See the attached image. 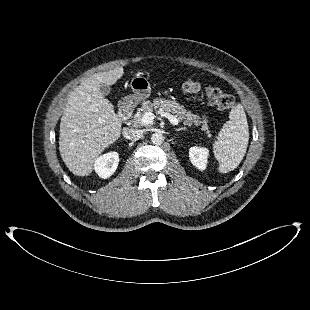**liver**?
Returning a JSON list of instances; mask_svg holds the SVG:
<instances>
[{
  "label": "liver",
  "mask_w": 310,
  "mask_h": 310,
  "mask_svg": "<svg viewBox=\"0 0 310 310\" xmlns=\"http://www.w3.org/2000/svg\"><path fill=\"white\" fill-rule=\"evenodd\" d=\"M123 74L122 67L96 73L68 98L60 123L59 151L74 175L91 174L95 160L120 137L121 121L100 85H113Z\"/></svg>",
  "instance_id": "liver-1"
}]
</instances>
